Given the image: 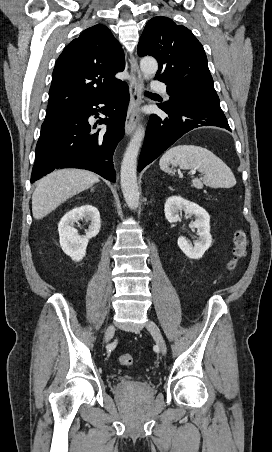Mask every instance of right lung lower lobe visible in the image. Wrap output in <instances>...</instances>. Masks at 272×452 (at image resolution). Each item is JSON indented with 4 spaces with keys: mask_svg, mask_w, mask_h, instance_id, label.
Segmentation results:
<instances>
[{
    "mask_svg": "<svg viewBox=\"0 0 272 452\" xmlns=\"http://www.w3.org/2000/svg\"><path fill=\"white\" fill-rule=\"evenodd\" d=\"M129 102V90L125 82L110 93L87 100L76 108L60 113L46 114L36 145V160L31 174V183L59 168H80L93 171L107 180L115 182L116 172L113 154L124 136V123ZM105 104L101 119L106 131H94L96 125L88 123Z\"/></svg>",
    "mask_w": 272,
    "mask_h": 452,
    "instance_id": "1",
    "label": "right lung lower lobe"
}]
</instances>
